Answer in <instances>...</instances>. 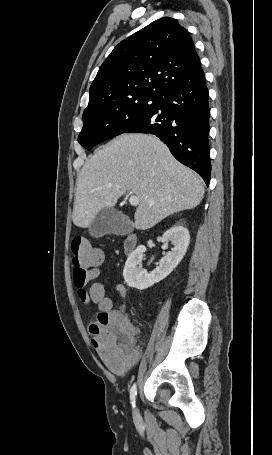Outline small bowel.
I'll return each instance as SVG.
<instances>
[{"mask_svg": "<svg viewBox=\"0 0 272 455\" xmlns=\"http://www.w3.org/2000/svg\"><path fill=\"white\" fill-rule=\"evenodd\" d=\"M117 292L122 296L124 297L125 294H126V289L123 285H119L117 286L116 288ZM122 310H123V306L119 307L118 309H115V310H112L111 313L116 315V316H119V317H122Z\"/></svg>", "mask_w": 272, "mask_h": 455, "instance_id": "obj_1", "label": "small bowel"}]
</instances>
